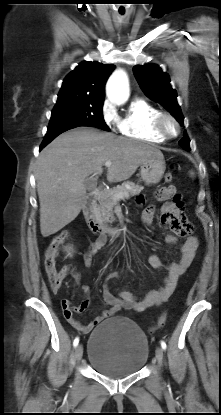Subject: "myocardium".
Instances as JSON below:
<instances>
[{
	"label": "myocardium",
	"instance_id": "obj_1",
	"mask_svg": "<svg viewBox=\"0 0 221 415\" xmlns=\"http://www.w3.org/2000/svg\"><path fill=\"white\" fill-rule=\"evenodd\" d=\"M171 122L174 127L175 131L171 132L168 129L167 124ZM154 128L155 130L164 138L166 139H172L177 137L180 134L181 126L179 121L176 119L175 116H173L171 113L168 112H160L158 116L154 120Z\"/></svg>",
	"mask_w": 221,
	"mask_h": 415
}]
</instances>
